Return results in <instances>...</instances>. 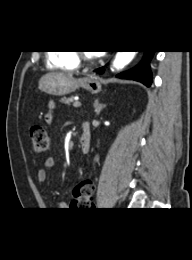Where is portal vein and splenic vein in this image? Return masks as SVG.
<instances>
[{
	"mask_svg": "<svg viewBox=\"0 0 192 260\" xmlns=\"http://www.w3.org/2000/svg\"><path fill=\"white\" fill-rule=\"evenodd\" d=\"M73 106H74L75 108L80 107V106H81V103H80L79 101H75V102L73 103Z\"/></svg>",
	"mask_w": 192,
	"mask_h": 260,
	"instance_id": "portal-vein-and-splenic-vein-1",
	"label": "portal vein and splenic vein"
}]
</instances>
